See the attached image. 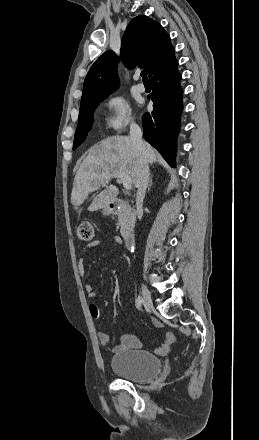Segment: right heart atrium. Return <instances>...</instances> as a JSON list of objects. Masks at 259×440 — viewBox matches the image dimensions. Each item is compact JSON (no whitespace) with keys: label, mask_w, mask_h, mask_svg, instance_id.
<instances>
[{"label":"right heart atrium","mask_w":259,"mask_h":440,"mask_svg":"<svg viewBox=\"0 0 259 440\" xmlns=\"http://www.w3.org/2000/svg\"><path fill=\"white\" fill-rule=\"evenodd\" d=\"M108 115L105 125L108 129L120 132L133 122L132 110L127 99L121 95H112L106 101Z\"/></svg>","instance_id":"1"}]
</instances>
